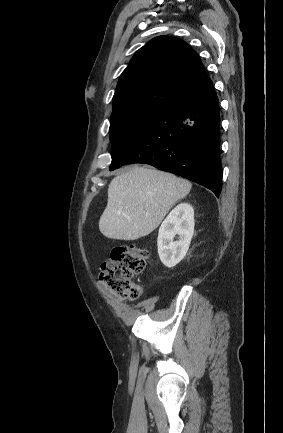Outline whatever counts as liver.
<instances>
[{
    "mask_svg": "<svg viewBox=\"0 0 283 433\" xmlns=\"http://www.w3.org/2000/svg\"><path fill=\"white\" fill-rule=\"evenodd\" d=\"M192 184L170 172L133 166L114 176L99 229L108 239L135 241L157 229L173 204L190 192Z\"/></svg>",
    "mask_w": 283,
    "mask_h": 433,
    "instance_id": "obj_1",
    "label": "liver"
}]
</instances>
